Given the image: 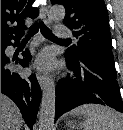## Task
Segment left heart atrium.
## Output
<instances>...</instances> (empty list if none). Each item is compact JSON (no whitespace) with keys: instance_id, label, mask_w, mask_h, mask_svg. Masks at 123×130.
Wrapping results in <instances>:
<instances>
[{"instance_id":"left-heart-atrium-1","label":"left heart atrium","mask_w":123,"mask_h":130,"mask_svg":"<svg viewBox=\"0 0 123 130\" xmlns=\"http://www.w3.org/2000/svg\"><path fill=\"white\" fill-rule=\"evenodd\" d=\"M36 67L42 70H47L52 64V56L48 52H43L36 60Z\"/></svg>"}]
</instances>
